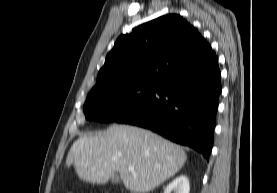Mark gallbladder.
<instances>
[{"label":"gallbladder","instance_id":"bac80fb5","mask_svg":"<svg viewBox=\"0 0 277 193\" xmlns=\"http://www.w3.org/2000/svg\"><path fill=\"white\" fill-rule=\"evenodd\" d=\"M111 182L112 183H119L120 182V177L118 175L114 176L112 179H111Z\"/></svg>","mask_w":277,"mask_h":193}]
</instances>
